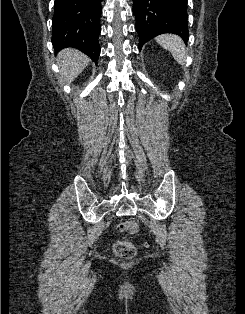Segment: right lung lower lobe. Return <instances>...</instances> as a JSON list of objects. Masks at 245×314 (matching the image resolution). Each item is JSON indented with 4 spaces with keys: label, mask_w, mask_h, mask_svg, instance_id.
<instances>
[{
    "label": "right lung lower lobe",
    "mask_w": 245,
    "mask_h": 314,
    "mask_svg": "<svg viewBox=\"0 0 245 314\" xmlns=\"http://www.w3.org/2000/svg\"><path fill=\"white\" fill-rule=\"evenodd\" d=\"M102 0H55L52 43L55 51L73 47L95 62L100 54Z\"/></svg>",
    "instance_id": "obj_1"
}]
</instances>
